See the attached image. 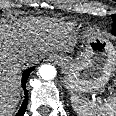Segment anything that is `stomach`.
Returning <instances> with one entry per match:
<instances>
[{"label": "stomach", "mask_w": 116, "mask_h": 116, "mask_svg": "<svg viewBox=\"0 0 116 116\" xmlns=\"http://www.w3.org/2000/svg\"><path fill=\"white\" fill-rule=\"evenodd\" d=\"M73 47L65 51L71 52ZM66 71L65 84L75 92H93L103 88L116 66V50L110 42L92 39L76 61L69 55H61Z\"/></svg>", "instance_id": "0dacf381"}]
</instances>
